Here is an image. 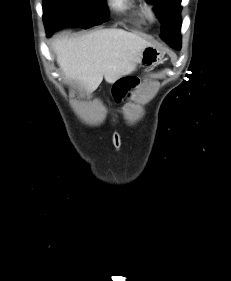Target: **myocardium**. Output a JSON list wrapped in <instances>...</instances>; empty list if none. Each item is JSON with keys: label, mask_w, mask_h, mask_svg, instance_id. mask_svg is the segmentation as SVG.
I'll list each match as a JSON object with an SVG mask.
<instances>
[{"label": "myocardium", "mask_w": 231, "mask_h": 281, "mask_svg": "<svg viewBox=\"0 0 231 281\" xmlns=\"http://www.w3.org/2000/svg\"><path fill=\"white\" fill-rule=\"evenodd\" d=\"M147 14L151 19H155L156 18V11L154 6H149L147 8Z\"/></svg>", "instance_id": "obj_1"}]
</instances>
